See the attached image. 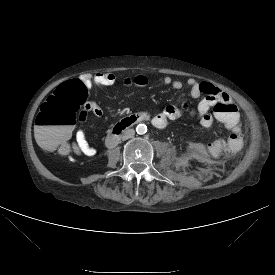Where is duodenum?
I'll use <instances>...</instances> for the list:
<instances>
[{"label":"duodenum","instance_id":"obj_1","mask_svg":"<svg viewBox=\"0 0 275 275\" xmlns=\"http://www.w3.org/2000/svg\"><path fill=\"white\" fill-rule=\"evenodd\" d=\"M146 116L144 114H135L129 117H126L119 122L115 123L109 134L106 137L105 145L108 148L116 146L120 140L121 134L128 128L137 124L138 122L145 121Z\"/></svg>","mask_w":275,"mask_h":275}]
</instances>
